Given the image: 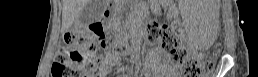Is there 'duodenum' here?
I'll return each mask as SVG.
<instances>
[{
  "label": "duodenum",
  "mask_w": 258,
  "mask_h": 77,
  "mask_svg": "<svg viewBox=\"0 0 258 77\" xmlns=\"http://www.w3.org/2000/svg\"><path fill=\"white\" fill-rule=\"evenodd\" d=\"M106 15H108V10L106 11ZM97 27H95V29H96ZM124 42V39L123 38H121L120 40L118 39L115 43L119 46L121 43H123Z\"/></svg>",
  "instance_id": "1"
}]
</instances>
